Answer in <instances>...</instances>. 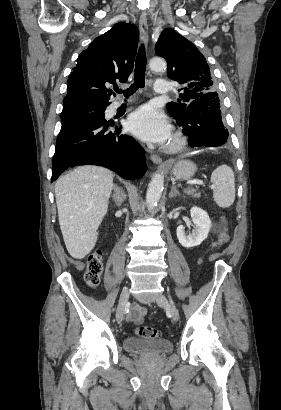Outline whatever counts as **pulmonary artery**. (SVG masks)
I'll return each mask as SVG.
<instances>
[{
  "label": "pulmonary artery",
  "mask_w": 281,
  "mask_h": 410,
  "mask_svg": "<svg viewBox=\"0 0 281 410\" xmlns=\"http://www.w3.org/2000/svg\"><path fill=\"white\" fill-rule=\"evenodd\" d=\"M169 83L166 80H157L154 83V91L157 93H167L169 92ZM121 103H116L115 107L120 106Z\"/></svg>",
  "instance_id": "pulmonary-artery-1"
}]
</instances>
